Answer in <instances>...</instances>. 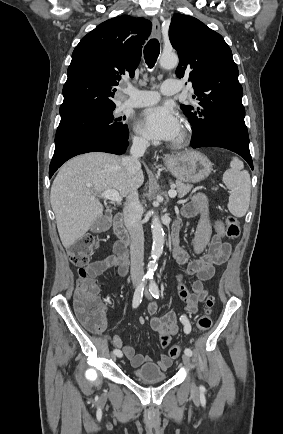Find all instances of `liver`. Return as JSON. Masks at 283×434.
<instances>
[{
  "mask_svg": "<svg viewBox=\"0 0 283 434\" xmlns=\"http://www.w3.org/2000/svg\"><path fill=\"white\" fill-rule=\"evenodd\" d=\"M144 182L143 171L127 175L121 157L92 152L66 162L55 177L50 193L61 242L71 247L89 230L103 213V205L96 196L115 190L126 197Z\"/></svg>",
  "mask_w": 283,
  "mask_h": 434,
  "instance_id": "6515ba94",
  "label": "liver"
}]
</instances>
